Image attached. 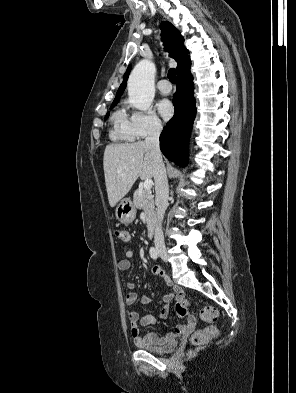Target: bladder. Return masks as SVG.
Instances as JSON below:
<instances>
[{
  "label": "bladder",
  "mask_w": 296,
  "mask_h": 393,
  "mask_svg": "<svg viewBox=\"0 0 296 393\" xmlns=\"http://www.w3.org/2000/svg\"><path fill=\"white\" fill-rule=\"evenodd\" d=\"M177 346L176 341H171L168 344H166L163 347H152V346H141V348L145 351L151 352V353H157V354H164V353H169L171 351H173Z\"/></svg>",
  "instance_id": "1"
}]
</instances>
